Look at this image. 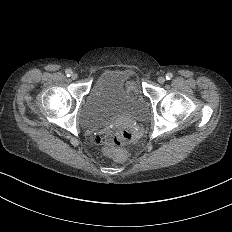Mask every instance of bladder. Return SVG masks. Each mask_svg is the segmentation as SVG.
Segmentation results:
<instances>
[{
  "mask_svg": "<svg viewBox=\"0 0 232 232\" xmlns=\"http://www.w3.org/2000/svg\"><path fill=\"white\" fill-rule=\"evenodd\" d=\"M130 70H106L96 79L80 111L79 122L87 130H97L122 119L145 121L149 107L141 95H131L126 84Z\"/></svg>",
  "mask_w": 232,
  "mask_h": 232,
  "instance_id": "bladder-1",
  "label": "bladder"
}]
</instances>
